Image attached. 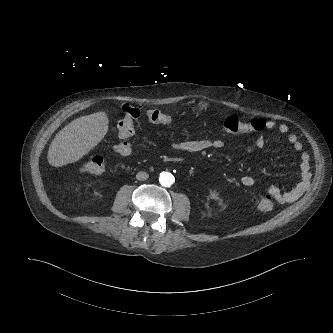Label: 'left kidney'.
Returning a JSON list of instances; mask_svg holds the SVG:
<instances>
[{"label": "left kidney", "instance_id": "1", "mask_svg": "<svg viewBox=\"0 0 333 333\" xmlns=\"http://www.w3.org/2000/svg\"><path fill=\"white\" fill-rule=\"evenodd\" d=\"M212 198H216V195H215V194H212Z\"/></svg>", "mask_w": 333, "mask_h": 333}]
</instances>
